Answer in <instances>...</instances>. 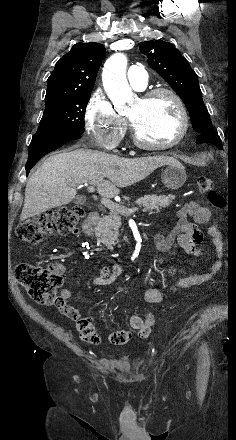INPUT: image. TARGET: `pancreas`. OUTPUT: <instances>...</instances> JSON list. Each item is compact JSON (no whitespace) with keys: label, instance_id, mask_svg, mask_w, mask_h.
<instances>
[{"label":"pancreas","instance_id":"cf45deb5","mask_svg":"<svg viewBox=\"0 0 236 440\" xmlns=\"http://www.w3.org/2000/svg\"><path fill=\"white\" fill-rule=\"evenodd\" d=\"M175 198L174 195L168 196H157V195H146L136 200V204L144 207V211H150L153 213L154 210L159 212L162 208L168 207L172 200ZM123 209H128L125 206L120 205ZM127 214L121 213L119 211L111 210L110 214L103 216L96 227V233L99 240L110 250H113V245L115 241H118L120 237L119 228L121 226V216Z\"/></svg>","mask_w":236,"mask_h":440}]
</instances>
